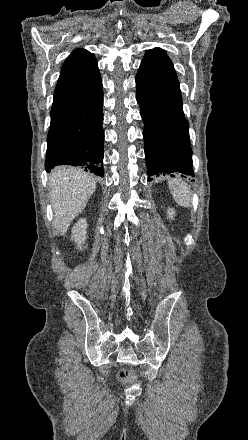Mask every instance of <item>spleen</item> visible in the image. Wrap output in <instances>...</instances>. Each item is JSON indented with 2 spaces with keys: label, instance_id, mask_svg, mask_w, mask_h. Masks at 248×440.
Instances as JSON below:
<instances>
[{
  "label": "spleen",
  "instance_id": "spleen-1",
  "mask_svg": "<svg viewBox=\"0 0 248 440\" xmlns=\"http://www.w3.org/2000/svg\"><path fill=\"white\" fill-rule=\"evenodd\" d=\"M170 192L180 206L190 207L192 204V192L189 186L181 179L175 178L168 182Z\"/></svg>",
  "mask_w": 248,
  "mask_h": 440
}]
</instances>
